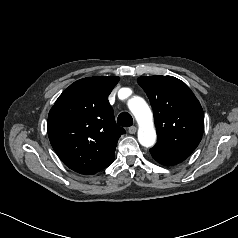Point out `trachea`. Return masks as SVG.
Wrapping results in <instances>:
<instances>
[{
    "instance_id": "3493384b",
    "label": "trachea",
    "mask_w": 238,
    "mask_h": 238,
    "mask_svg": "<svg viewBox=\"0 0 238 238\" xmlns=\"http://www.w3.org/2000/svg\"><path fill=\"white\" fill-rule=\"evenodd\" d=\"M117 123L122 127H130L133 125L132 116L127 112H123L118 116Z\"/></svg>"
}]
</instances>
